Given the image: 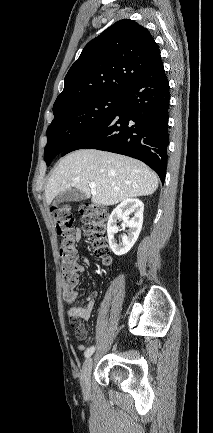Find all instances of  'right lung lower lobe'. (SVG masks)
Returning a JSON list of instances; mask_svg holds the SVG:
<instances>
[{
	"instance_id": "obj_1",
	"label": "right lung lower lobe",
	"mask_w": 213,
	"mask_h": 433,
	"mask_svg": "<svg viewBox=\"0 0 213 433\" xmlns=\"http://www.w3.org/2000/svg\"><path fill=\"white\" fill-rule=\"evenodd\" d=\"M169 82L161 58L120 98L101 124L67 147L61 155L93 148L134 157L164 183L167 168Z\"/></svg>"
}]
</instances>
